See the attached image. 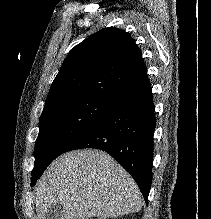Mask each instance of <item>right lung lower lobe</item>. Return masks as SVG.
Masks as SVG:
<instances>
[{
	"label": "right lung lower lobe",
	"instance_id": "obj_1",
	"mask_svg": "<svg viewBox=\"0 0 211 219\" xmlns=\"http://www.w3.org/2000/svg\"><path fill=\"white\" fill-rule=\"evenodd\" d=\"M155 127L154 103L149 86L116 104L79 135L64 152L81 148L107 152L134 178L148 204Z\"/></svg>",
	"mask_w": 211,
	"mask_h": 219
}]
</instances>
